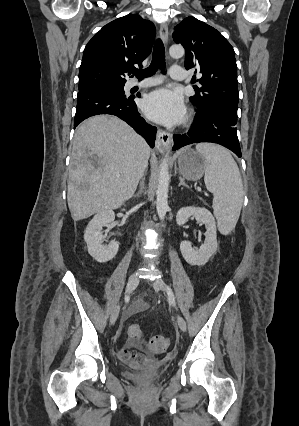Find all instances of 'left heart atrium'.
Masks as SVG:
<instances>
[{
  "mask_svg": "<svg viewBox=\"0 0 299 426\" xmlns=\"http://www.w3.org/2000/svg\"><path fill=\"white\" fill-rule=\"evenodd\" d=\"M143 111L149 119L164 125L179 124L186 116L181 95L166 88L149 93L143 101Z\"/></svg>",
  "mask_w": 299,
  "mask_h": 426,
  "instance_id": "1",
  "label": "left heart atrium"
}]
</instances>
